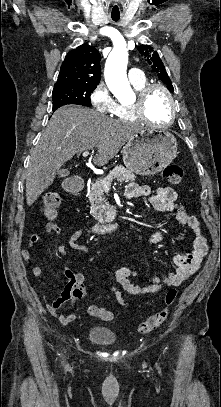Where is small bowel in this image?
<instances>
[{
  "instance_id": "c3829d8e",
  "label": "small bowel",
  "mask_w": 221,
  "mask_h": 407,
  "mask_svg": "<svg viewBox=\"0 0 221 407\" xmlns=\"http://www.w3.org/2000/svg\"><path fill=\"white\" fill-rule=\"evenodd\" d=\"M146 197L149 204L156 210L162 212H174L177 220L184 226L188 227L193 235L192 250L186 255H177L173 258V262L176 265V270L172 273L152 276L144 278L140 273L128 267H121L116 272V281L119 286L111 285L110 289L116 297L118 303L128 308L130 302L125 300L122 296V290L132 295H145L147 297L153 296L162 291L166 287L178 286L183 281L193 275L199 268L203 257L207 254L208 246L207 240L202 232L198 219L187 213L183 204L179 203L177 192L168 186H160L153 190L147 185L131 184L125 191V197L132 199L134 197ZM47 232L61 233V229L57 226L53 232L46 227ZM84 236L82 229L75 230L69 238V243L72 247L84 251L85 248L77 244V242ZM40 236L34 234L30 237L27 245L23 248L21 256L26 262L32 260L31 250L38 243ZM163 240V234L161 232L155 233L150 238V243L157 244ZM57 252L64 257L70 256L69 248L60 244L57 247ZM62 272L67 278V283L62 290L61 294L52 302H46V308L54 316L58 315L59 309L66 303L74 301L75 298L68 290V286L74 282H80L84 285L86 281V275L83 272L73 271L68 268H63ZM31 274L40 283H42V270L40 267L35 266L31 269ZM133 279L139 281H148V284H134ZM122 289V290H121ZM86 292L84 289V297ZM79 318L74 314L59 315L58 319L61 324L68 325L72 321Z\"/></svg>"
}]
</instances>
